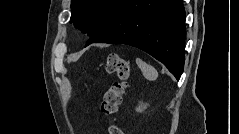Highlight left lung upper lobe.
<instances>
[{
    "instance_id": "5c2ea615",
    "label": "left lung upper lobe",
    "mask_w": 239,
    "mask_h": 134,
    "mask_svg": "<svg viewBox=\"0 0 239 134\" xmlns=\"http://www.w3.org/2000/svg\"><path fill=\"white\" fill-rule=\"evenodd\" d=\"M124 0H72L70 22L89 36L104 28Z\"/></svg>"
}]
</instances>
